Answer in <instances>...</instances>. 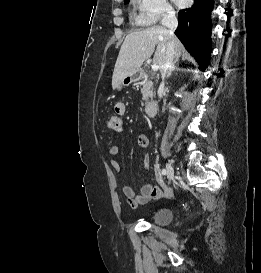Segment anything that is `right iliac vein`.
Here are the masks:
<instances>
[{
    "mask_svg": "<svg viewBox=\"0 0 261 273\" xmlns=\"http://www.w3.org/2000/svg\"><path fill=\"white\" fill-rule=\"evenodd\" d=\"M166 175L169 180L173 178L174 169L170 164L166 165Z\"/></svg>",
    "mask_w": 261,
    "mask_h": 273,
    "instance_id": "obj_1",
    "label": "right iliac vein"
}]
</instances>
